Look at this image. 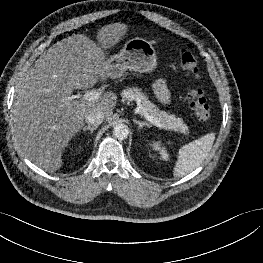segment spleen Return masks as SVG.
<instances>
[{
	"instance_id": "spleen-1",
	"label": "spleen",
	"mask_w": 263,
	"mask_h": 263,
	"mask_svg": "<svg viewBox=\"0 0 263 263\" xmlns=\"http://www.w3.org/2000/svg\"><path fill=\"white\" fill-rule=\"evenodd\" d=\"M214 140L215 133H208L181 147L173 175L183 177L199 167L210 153Z\"/></svg>"
}]
</instances>
